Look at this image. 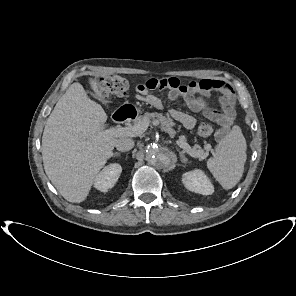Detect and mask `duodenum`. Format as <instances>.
<instances>
[{
  "label": "duodenum",
  "mask_w": 296,
  "mask_h": 296,
  "mask_svg": "<svg viewBox=\"0 0 296 296\" xmlns=\"http://www.w3.org/2000/svg\"><path fill=\"white\" fill-rule=\"evenodd\" d=\"M136 115L137 112L133 107L123 108L114 113L113 120L116 123H122L134 119Z\"/></svg>",
  "instance_id": "410a0bca"
}]
</instances>
